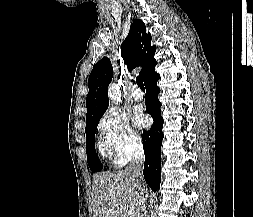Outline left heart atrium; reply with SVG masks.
I'll use <instances>...</instances> for the list:
<instances>
[{"label": "left heart atrium", "mask_w": 253, "mask_h": 217, "mask_svg": "<svg viewBox=\"0 0 253 217\" xmlns=\"http://www.w3.org/2000/svg\"><path fill=\"white\" fill-rule=\"evenodd\" d=\"M134 123L139 127H145L148 124V118L141 111H138L134 115Z\"/></svg>", "instance_id": "obj_1"}]
</instances>
